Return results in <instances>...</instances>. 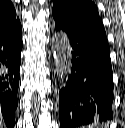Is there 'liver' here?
<instances>
[{
  "label": "liver",
  "mask_w": 125,
  "mask_h": 128,
  "mask_svg": "<svg viewBox=\"0 0 125 128\" xmlns=\"http://www.w3.org/2000/svg\"><path fill=\"white\" fill-rule=\"evenodd\" d=\"M0 128H4V124L1 118H0Z\"/></svg>",
  "instance_id": "6515ba94"
}]
</instances>
